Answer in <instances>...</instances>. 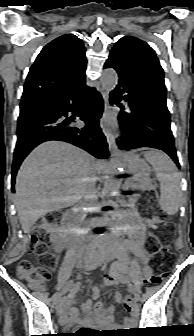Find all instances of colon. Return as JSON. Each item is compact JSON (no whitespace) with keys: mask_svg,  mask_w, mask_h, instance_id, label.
<instances>
[{"mask_svg":"<svg viewBox=\"0 0 194 336\" xmlns=\"http://www.w3.org/2000/svg\"><path fill=\"white\" fill-rule=\"evenodd\" d=\"M142 209L148 216V221L152 228V233L147 238L149 250L153 255L168 259L169 250L167 245L172 238L170 223L165 219L158 204L153 200H147ZM47 224L48 221L46 219H39L30 235V252L35 256H46L49 253L50 241L47 235ZM16 274L27 285L39 290L44 289L50 279V273L46 267L34 265L26 259L19 261L16 267ZM161 277L162 274H155L150 276L147 282L156 284L160 282Z\"/></svg>","mask_w":194,"mask_h":336,"instance_id":"1","label":"colon"}]
</instances>
